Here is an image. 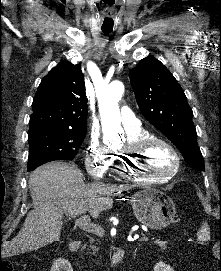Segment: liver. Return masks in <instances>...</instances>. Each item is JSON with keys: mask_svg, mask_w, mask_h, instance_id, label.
<instances>
[{"mask_svg": "<svg viewBox=\"0 0 221 271\" xmlns=\"http://www.w3.org/2000/svg\"><path fill=\"white\" fill-rule=\"evenodd\" d=\"M29 187L34 209L28 211L17 235L2 245L3 257L44 247L59 241L65 215L90 213L99 217L111 209L113 191L129 189L128 185H112L103 181L85 183L83 173L74 163L51 161L29 175Z\"/></svg>", "mask_w": 221, "mask_h": 271, "instance_id": "1", "label": "liver"}]
</instances>
